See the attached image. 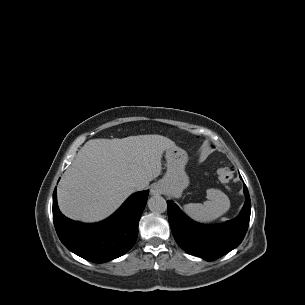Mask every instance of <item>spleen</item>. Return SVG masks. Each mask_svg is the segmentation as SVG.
Wrapping results in <instances>:
<instances>
[{"instance_id": "spleen-1", "label": "spleen", "mask_w": 305, "mask_h": 305, "mask_svg": "<svg viewBox=\"0 0 305 305\" xmlns=\"http://www.w3.org/2000/svg\"><path fill=\"white\" fill-rule=\"evenodd\" d=\"M207 201L184 205V212L193 220L208 223L223 215L230 207L228 197L218 189L207 190Z\"/></svg>"}]
</instances>
